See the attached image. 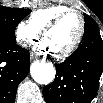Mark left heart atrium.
<instances>
[{"instance_id": "obj_1", "label": "left heart atrium", "mask_w": 103, "mask_h": 103, "mask_svg": "<svg viewBox=\"0 0 103 103\" xmlns=\"http://www.w3.org/2000/svg\"><path fill=\"white\" fill-rule=\"evenodd\" d=\"M35 48L40 52L51 51L50 45L46 39L40 40L36 45Z\"/></svg>"}]
</instances>
